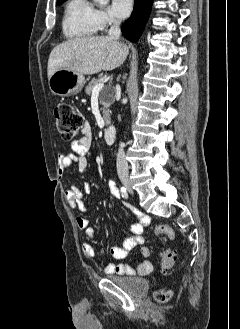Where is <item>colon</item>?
Listing matches in <instances>:
<instances>
[{"label": "colon", "instance_id": "1", "mask_svg": "<svg viewBox=\"0 0 240 329\" xmlns=\"http://www.w3.org/2000/svg\"><path fill=\"white\" fill-rule=\"evenodd\" d=\"M54 114L57 122V128L62 138L65 140L73 139L83 126V117L79 111L70 104L61 103L56 106ZM154 233L162 241L172 239L174 236L172 228L167 225L156 226ZM160 256V265L163 270L169 269L176 260V254L170 248H165L162 250ZM169 297V291L161 290L155 293V299L160 302L166 301Z\"/></svg>", "mask_w": 240, "mask_h": 329}]
</instances>
